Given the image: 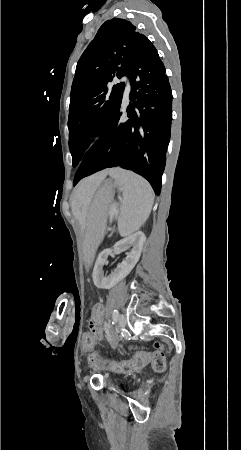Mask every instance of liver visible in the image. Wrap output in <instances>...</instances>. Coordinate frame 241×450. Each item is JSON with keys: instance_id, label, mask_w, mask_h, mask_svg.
Wrapping results in <instances>:
<instances>
[{"instance_id": "obj_1", "label": "liver", "mask_w": 241, "mask_h": 450, "mask_svg": "<svg viewBox=\"0 0 241 450\" xmlns=\"http://www.w3.org/2000/svg\"><path fill=\"white\" fill-rule=\"evenodd\" d=\"M110 170H103V172H98V174H93V176H89V178H84L81 180L79 184H77L76 188L73 190V196L71 198L72 208H80V206H84L83 212H86L97 188H99L101 182L105 180L106 176H108Z\"/></svg>"}]
</instances>
